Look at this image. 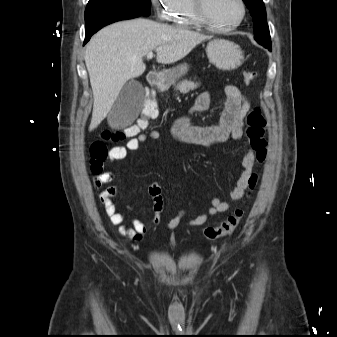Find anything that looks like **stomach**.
I'll return each instance as SVG.
<instances>
[{
  "mask_svg": "<svg viewBox=\"0 0 337 337\" xmlns=\"http://www.w3.org/2000/svg\"><path fill=\"white\" fill-rule=\"evenodd\" d=\"M207 56L211 63L221 70H234L243 60V51L230 41L215 39L210 41L206 48ZM188 72V65L182 64L163 72L162 79L166 83H172Z\"/></svg>",
  "mask_w": 337,
  "mask_h": 337,
  "instance_id": "0dacf381",
  "label": "stomach"
}]
</instances>
